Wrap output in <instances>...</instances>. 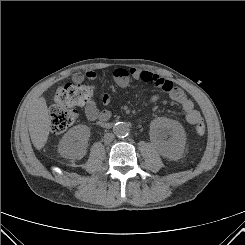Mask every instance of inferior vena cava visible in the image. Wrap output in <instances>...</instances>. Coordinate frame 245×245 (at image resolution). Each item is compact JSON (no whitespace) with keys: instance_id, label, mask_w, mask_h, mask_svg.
Segmentation results:
<instances>
[{"instance_id":"1","label":"inferior vena cava","mask_w":245,"mask_h":245,"mask_svg":"<svg viewBox=\"0 0 245 245\" xmlns=\"http://www.w3.org/2000/svg\"><path fill=\"white\" fill-rule=\"evenodd\" d=\"M114 134L113 133H107V134H105V136H104V142L106 143V144H109V143H111L113 140H114Z\"/></svg>"}]
</instances>
